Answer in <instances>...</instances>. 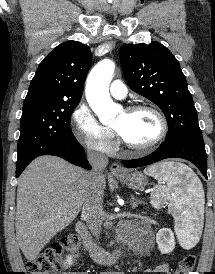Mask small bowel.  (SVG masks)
I'll list each match as a JSON object with an SVG mask.
<instances>
[{"instance_id":"1","label":"small bowel","mask_w":215,"mask_h":274,"mask_svg":"<svg viewBox=\"0 0 215 274\" xmlns=\"http://www.w3.org/2000/svg\"><path fill=\"white\" fill-rule=\"evenodd\" d=\"M146 272H155V273H161V274H175L174 272H172L170 264L167 262L159 264L156 267H154L153 269H147ZM62 274H87V273H85V272H74V273L64 272ZM102 274H120V273L103 272Z\"/></svg>"}]
</instances>
